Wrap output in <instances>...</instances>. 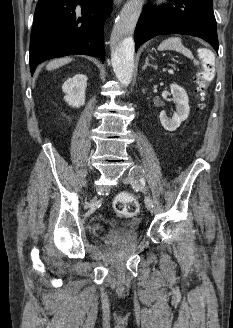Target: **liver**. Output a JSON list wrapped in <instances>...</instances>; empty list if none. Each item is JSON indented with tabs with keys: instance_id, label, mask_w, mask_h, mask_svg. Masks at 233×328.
Segmentation results:
<instances>
[{
	"instance_id": "1",
	"label": "liver",
	"mask_w": 233,
	"mask_h": 328,
	"mask_svg": "<svg viewBox=\"0 0 233 328\" xmlns=\"http://www.w3.org/2000/svg\"><path fill=\"white\" fill-rule=\"evenodd\" d=\"M71 61H72V58H69V57L56 59V60L49 62L46 66V69L49 71L54 70V69H57L65 64L71 62Z\"/></svg>"
}]
</instances>
